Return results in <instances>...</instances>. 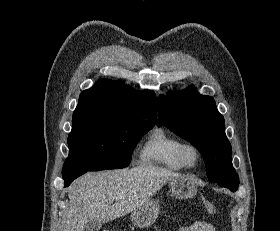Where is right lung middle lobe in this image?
<instances>
[{"mask_svg":"<svg viewBox=\"0 0 280 231\" xmlns=\"http://www.w3.org/2000/svg\"><path fill=\"white\" fill-rule=\"evenodd\" d=\"M69 156L63 170L125 168L137 142L153 125L112 118L72 119Z\"/></svg>","mask_w":280,"mask_h":231,"instance_id":"right-lung-middle-lobe-1","label":"right lung middle lobe"}]
</instances>
